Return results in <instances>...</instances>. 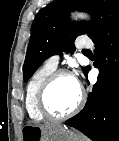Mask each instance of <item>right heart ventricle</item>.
I'll return each instance as SVG.
<instances>
[{
    "mask_svg": "<svg viewBox=\"0 0 119 141\" xmlns=\"http://www.w3.org/2000/svg\"><path fill=\"white\" fill-rule=\"evenodd\" d=\"M56 69L47 63L37 69L29 79L25 92V108L29 117L35 121H42L45 117L37 108V92L43 81Z\"/></svg>",
    "mask_w": 119,
    "mask_h": 141,
    "instance_id": "e07e8e85",
    "label": "right heart ventricle"
}]
</instances>
